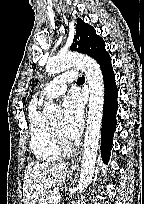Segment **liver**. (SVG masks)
I'll use <instances>...</instances> for the list:
<instances>
[{"label": "liver", "instance_id": "1", "mask_svg": "<svg viewBox=\"0 0 144 204\" xmlns=\"http://www.w3.org/2000/svg\"><path fill=\"white\" fill-rule=\"evenodd\" d=\"M68 164L29 162L23 181V203L36 204L39 196L51 187L62 185Z\"/></svg>", "mask_w": 144, "mask_h": 204}]
</instances>
